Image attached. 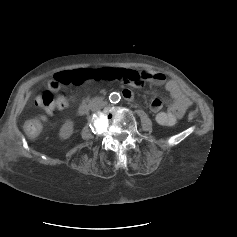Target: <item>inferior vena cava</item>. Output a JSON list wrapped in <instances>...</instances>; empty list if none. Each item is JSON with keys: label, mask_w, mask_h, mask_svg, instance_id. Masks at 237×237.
<instances>
[{"label": "inferior vena cava", "mask_w": 237, "mask_h": 237, "mask_svg": "<svg viewBox=\"0 0 237 237\" xmlns=\"http://www.w3.org/2000/svg\"><path fill=\"white\" fill-rule=\"evenodd\" d=\"M107 105V102L106 101H103L101 99H97V100H94L93 102H91L90 104V109L92 111H97V110H100L102 109L103 107H105Z\"/></svg>", "instance_id": "1"}]
</instances>
